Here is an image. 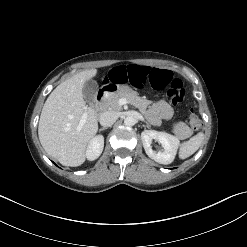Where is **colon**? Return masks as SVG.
Returning a JSON list of instances; mask_svg holds the SVG:
<instances>
[{
	"label": "colon",
	"mask_w": 247,
	"mask_h": 247,
	"mask_svg": "<svg viewBox=\"0 0 247 247\" xmlns=\"http://www.w3.org/2000/svg\"><path fill=\"white\" fill-rule=\"evenodd\" d=\"M101 83L108 90H115L121 84L123 86L166 89V95L173 104L182 102L186 95L182 81L174 78L171 71L157 69L149 65L138 66L135 63L114 64L103 72ZM189 123L194 131H198L202 126L194 108L190 110Z\"/></svg>",
	"instance_id": "1"
}]
</instances>
